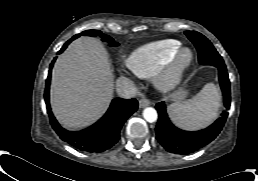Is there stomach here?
I'll return each mask as SVG.
<instances>
[{
    "mask_svg": "<svg viewBox=\"0 0 258 181\" xmlns=\"http://www.w3.org/2000/svg\"><path fill=\"white\" fill-rule=\"evenodd\" d=\"M187 95H188L187 90L183 88H179L169 96V99L175 102H180L184 100L187 97Z\"/></svg>",
    "mask_w": 258,
    "mask_h": 181,
    "instance_id": "obj_1",
    "label": "stomach"
}]
</instances>
